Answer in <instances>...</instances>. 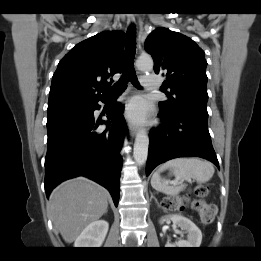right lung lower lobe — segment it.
<instances>
[{
	"label": "right lung lower lobe",
	"mask_w": 261,
	"mask_h": 261,
	"mask_svg": "<svg viewBox=\"0 0 261 261\" xmlns=\"http://www.w3.org/2000/svg\"><path fill=\"white\" fill-rule=\"evenodd\" d=\"M105 100L106 97H102L81 107L48 112L44 180L47 197L62 181L82 175L107 188L115 206L118 205L120 151L127 125L119 103L107 112L108 121L94 119V110L100 108L98 101ZM110 123L113 124L110 128L97 129L99 125Z\"/></svg>",
	"instance_id": "1"
}]
</instances>
